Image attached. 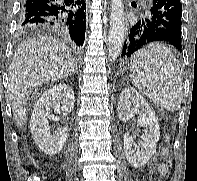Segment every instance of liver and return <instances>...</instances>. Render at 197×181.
Here are the masks:
<instances>
[{"mask_svg":"<svg viewBox=\"0 0 197 181\" xmlns=\"http://www.w3.org/2000/svg\"><path fill=\"white\" fill-rule=\"evenodd\" d=\"M76 70L77 63L63 42L43 35L22 42L8 72L9 99L16 124L25 126V106L35 87L66 78Z\"/></svg>","mask_w":197,"mask_h":181,"instance_id":"6515ba94","label":"liver"}]
</instances>
